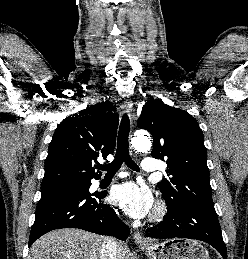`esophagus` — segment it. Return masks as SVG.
Wrapping results in <instances>:
<instances>
[{
	"label": "esophagus",
	"mask_w": 248,
	"mask_h": 259,
	"mask_svg": "<svg viewBox=\"0 0 248 259\" xmlns=\"http://www.w3.org/2000/svg\"><path fill=\"white\" fill-rule=\"evenodd\" d=\"M123 107L128 112L130 120L133 122L135 120V114H134L133 102H132L131 98H129V97L125 98ZM133 239L138 244H144V245L148 244V241L138 231H135L133 233Z\"/></svg>",
	"instance_id": "esophagus-1"
}]
</instances>
